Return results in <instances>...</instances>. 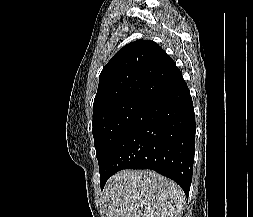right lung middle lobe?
Returning a JSON list of instances; mask_svg holds the SVG:
<instances>
[{
  "mask_svg": "<svg viewBox=\"0 0 253 217\" xmlns=\"http://www.w3.org/2000/svg\"><path fill=\"white\" fill-rule=\"evenodd\" d=\"M149 101L128 98L109 104L93 114L92 132L100 176L105 172L107 159L116 142Z\"/></svg>",
  "mask_w": 253,
  "mask_h": 217,
  "instance_id": "dd1d6c3e",
  "label": "right lung middle lobe"
}]
</instances>
